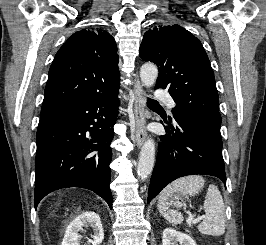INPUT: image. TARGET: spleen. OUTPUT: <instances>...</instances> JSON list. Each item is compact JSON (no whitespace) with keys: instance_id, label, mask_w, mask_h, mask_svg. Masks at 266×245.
I'll list each match as a JSON object with an SVG mask.
<instances>
[{"instance_id":"1","label":"spleen","mask_w":266,"mask_h":245,"mask_svg":"<svg viewBox=\"0 0 266 245\" xmlns=\"http://www.w3.org/2000/svg\"><path fill=\"white\" fill-rule=\"evenodd\" d=\"M203 177L199 175H190V177H183V179H177L173 181L171 185L165 187L162 193L159 195L157 209L161 215L172 223V225H181L183 223V215L176 213V211H170L167 203V199L175 193H182V195H190L195 197L200 193L204 187ZM204 211L206 213L205 219L198 225V231L202 235H213V237H219L225 233V205L223 197L218 191L215 185H209L208 193L204 201Z\"/></svg>"}]
</instances>
